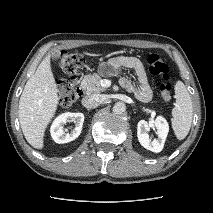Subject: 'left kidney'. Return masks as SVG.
Returning <instances> with one entry per match:
<instances>
[{
	"instance_id": "obj_1",
	"label": "left kidney",
	"mask_w": 213,
	"mask_h": 213,
	"mask_svg": "<svg viewBox=\"0 0 213 213\" xmlns=\"http://www.w3.org/2000/svg\"><path fill=\"white\" fill-rule=\"evenodd\" d=\"M151 123L154 124V126L157 129V139H154L153 141L150 140L149 135L147 134V130L149 129V124L145 120H140L137 125V137L140 142V144L146 148L147 150H150L155 153H159L162 151L166 137L168 135L169 131V125L165 118L162 116H158L154 121Z\"/></svg>"
}]
</instances>
